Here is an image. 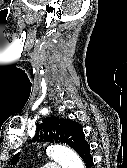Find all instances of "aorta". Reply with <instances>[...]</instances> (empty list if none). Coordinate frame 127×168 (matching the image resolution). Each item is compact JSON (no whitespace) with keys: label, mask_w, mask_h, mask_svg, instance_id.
<instances>
[{"label":"aorta","mask_w":127,"mask_h":168,"mask_svg":"<svg viewBox=\"0 0 127 168\" xmlns=\"http://www.w3.org/2000/svg\"><path fill=\"white\" fill-rule=\"evenodd\" d=\"M46 153L51 159L58 162L62 168H84L80 157L73 150L65 146H50L47 148Z\"/></svg>","instance_id":"1"}]
</instances>
